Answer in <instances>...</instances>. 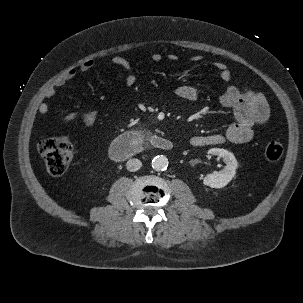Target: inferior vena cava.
<instances>
[{
	"label": "inferior vena cava",
	"instance_id": "obj_1",
	"mask_svg": "<svg viewBox=\"0 0 303 303\" xmlns=\"http://www.w3.org/2000/svg\"><path fill=\"white\" fill-rule=\"evenodd\" d=\"M142 166V162L138 159H129L126 163V168L127 170L131 171V172H135L137 170H139Z\"/></svg>",
	"mask_w": 303,
	"mask_h": 303
}]
</instances>
